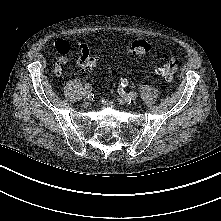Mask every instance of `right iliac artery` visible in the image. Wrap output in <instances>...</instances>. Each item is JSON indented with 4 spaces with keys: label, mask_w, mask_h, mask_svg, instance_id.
Returning a JSON list of instances; mask_svg holds the SVG:
<instances>
[{
    "label": "right iliac artery",
    "mask_w": 221,
    "mask_h": 221,
    "mask_svg": "<svg viewBox=\"0 0 221 221\" xmlns=\"http://www.w3.org/2000/svg\"><path fill=\"white\" fill-rule=\"evenodd\" d=\"M91 88H92V87H91V84H89V83H86V84H85V89H86V90L90 91Z\"/></svg>",
    "instance_id": "obj_1"
}]
</instances>
